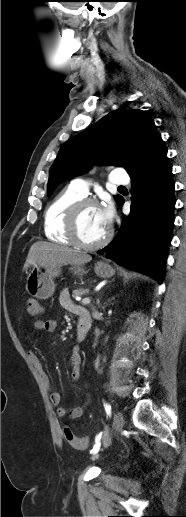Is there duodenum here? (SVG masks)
<instances>
[{
  "mask_svg": "<svg viewBox=\"0 0 186 517\" xmlns=\"http://www.w3.org/2000/svg\"><path fill=\"white\" fill-rule=\"evenodd\" d=\"M91 325L92 318L90 313L86 309L82 308L78 313L77 338L79 341L85 339Z\"/></svg>",
  "mask_w": 186,
  "mask_h": 517,
  "instance_id": "410a0bca",
  "label": "duodenum"
}]
</instances>
